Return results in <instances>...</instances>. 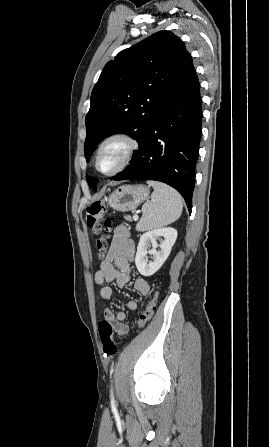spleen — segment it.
I'll return each mask as SVG.
<instances>
[{
  "mask_svg": "<svg viewBox=\"0 0 269 447\" xmlns=\"http://www.w3.org/2000/svg\"><path fill=\"white\" fill-rule=\"evenodd\" d=\"M154 188L151 202L142 206V218L136 225L137 231L155 229L172 224L180 218L183 210L182 198L176 190L162 182H147Z\"/></svg>",
  "mask_w": 269,
  "mask_h": 447,
  "instance_id": "1",
  "label": "spleen"
}]
</instances>
